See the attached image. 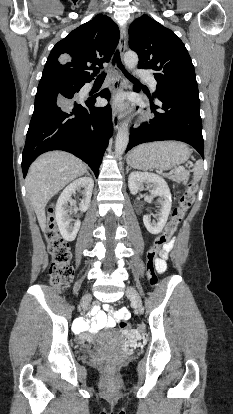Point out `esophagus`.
Masks as SVG:
<instances>
[{"label":"esophagus","mask_w":233,"mask_h":414,"mask_svg":"<svg viewBox=\"0 0 233 414\" xmlns=\"http://www.w3.org/2000/svg\"><path fill=\"white\" fill-rule=\"evenodd\" d=\"M126 47H127L126 29L122 27L120 31V44H119V53L121 57L123 56L126 50ZM114 72H115V79L113 83V90L114 92L118 90H123L125 87V82H126L125 77L122 71L117 66L114 68ZM119 107H120L119 102H117L114 99L113 105H112V122H113V127L115 130H117L120 125L121 114H120Z\"/></svg>","instance_id":"34e87169"}]
</instances>
